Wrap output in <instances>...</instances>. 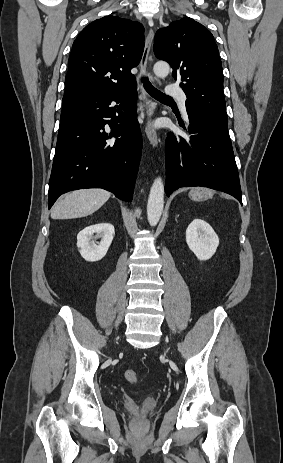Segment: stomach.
<instances>
[{"label": "stomach", "mask_w": 283, "mask_h": 463, "mask_svg": "<svg viewBox=\"0 0 283 463\" xmlns=\"http://www.w3.org/2000/svg\"><path fill=\"white\" fill-rule=\"evenodd\" d=\"M192 199L194 200H203L208 197V190L204 188H195L192 189L189 193Z\"/></svg>", "instance_id": "stomach-1"}]
</instances>
